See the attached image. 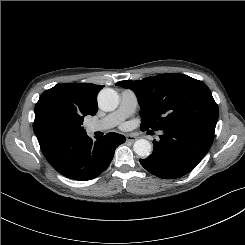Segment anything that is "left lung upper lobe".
<instances>
[{"label": "left lung upper lobe", "instance_id": "obj_1", "mask_svg": "<svg viewBox=\"0 0 245 245\" xmlns=\"http://www.w3.org/2000/svg\"><path fill=\"white\" fill-rule=\"evenodd\" d=\"M116 85L136 94L142 130L196 126L215 132L218 106L202 81L171 73L138 81H120Z\"/></svg>", "mask_w": 245, "mask_h": 245}]
</instances>
